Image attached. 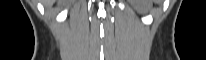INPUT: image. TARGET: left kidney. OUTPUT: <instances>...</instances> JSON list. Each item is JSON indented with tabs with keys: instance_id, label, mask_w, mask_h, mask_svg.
Wrapping results in <instances>:
<instances>
[{
	"instance_id": "5707ae66",
	"label": "left kidney",
	"mask_w": 206,
	"mask_h": 60,
	"mask_svg": "<svg viewBox=\"0 0 206 60\" xmlns=\"http://www.w3.org/2000/svg\"><path fill=\"white\" fill-rule=\"evenodd\" d=\"M150 5H151L150 0H144L138 5V9L140 12L145 13L149 10Z\"/></svg>"
}]
</instances>
